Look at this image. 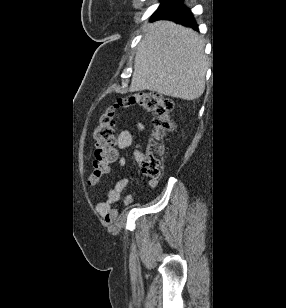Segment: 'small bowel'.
<instances>
[{
  "instance_id": "c3829d8e",
  "label": "small bowel",
  "mask_w": 286,
  "mask_h": 308,
  "mask_svg": "<svg viewBox=\"0 0 286 308\" xmlns=\"http://www.w3.org/2000/svg\"><path fill=\"white\" fill-rule=\"evenodd\" d=\"M136 128L139 132L143 131V125L140 123L136 125ZM134 139H135V136L131 131L124 130L118 136L117 146L119 149H127L133 144ZM139 146L140 145L137 144V148L134 152V155L137 161H141L143 158V154ZM119 163L123 165L124 160L120 159ZM127 183H128V178H121L117 180L112 186V188L109 190L106 198L99 203V206H98L99 211L101 214L105 216V218L108 221H112L116 217L117 212L113 208V205L120 200ZM150 186L154 188L156 186V183L152 181L150 182ZM133 201H134V198L132 195H127L124 198V203L126 205L132 204Z\"/></svg>"
}]
</instances>
